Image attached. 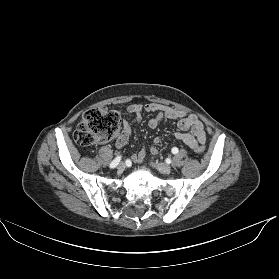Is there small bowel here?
<instances>
[{
    "mask_svg": "<svg viewBox=\"0 0 279 279\" xmlns=\"http://www.w3.org/2000/svg\"><path fill=\"white\" fill-rule=\"evenodd\" d=\"M126 111L129 114L135 116L137 123L141 122V115L144 112L152 113L157 112V114L148 121V126L151 129L158 127L162 119H174L178 120L177 126L179 131L174 134V138L182 141L188 147L193 149L196 145H203L206 141V132L203 123L200 119L193 114H186L184 111L177 110L175 108L162 105L159 103H145L139 104L134 103L127 106ZM131 129L127 122L124 123L123 130L116 141V147L121 149L124 147L130 138ZM155 145L152 146V153L157 152V144L159 139L156 138L154 141ZM145 156V147L142 146L133 156V162H142Z\"/></svg>",
    "mask_w": 279,
    "mask_h": 279,
    "instance_id": "c3829d8e",
    "label": "small bowel"
}]
</instances>
